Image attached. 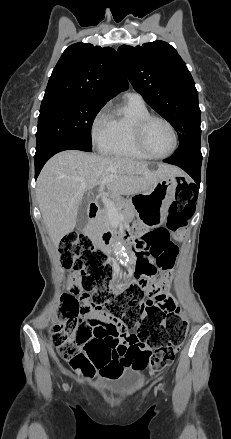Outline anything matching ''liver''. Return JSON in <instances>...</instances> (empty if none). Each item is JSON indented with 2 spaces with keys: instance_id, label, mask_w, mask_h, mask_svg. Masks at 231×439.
Wrapping results in <instances>:
<instances>
[{
  "instance_id": "obj_1",
  "label": "liver",
  "mask_w": 231,
  "mask_h": 439,
  "mask_svg": "<svg viewBox=\"0 0 231 439\" xmlns=\"http://www.w3.org/2000/svg\"><path fill=\"white\" fill-rule=\"evenodd\" d=\"M182 175L177 167L149 164L121 157H102L82 151L69 150L52 157L43 167L37 180V198L49 236L55 246L62 237L73 231L83 193L106 183L111 196L133 195L150 190L160 180ZM104 185V188H105ZM101 187V186H100Z\"/></svg>"
}]
</instances>
